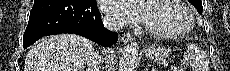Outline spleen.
I'll use <instances>...</instances> for the list:
<instances>
[{"label": "spleen", "instance_id": "spleen-1", "mask_svg": "<svg viewBox=\"0 0 230 71\" xmlns=\"http://www.w3.org/2000/svg\"><path fill=\"white\" fill-rule=\"evenodd\" d=\"M183 63L190 66L193 71H208V62L201 49L196 44H189L183 55Z\"/></svg>", "mask_w": 230, "mask_h": 71}]
</instances>
